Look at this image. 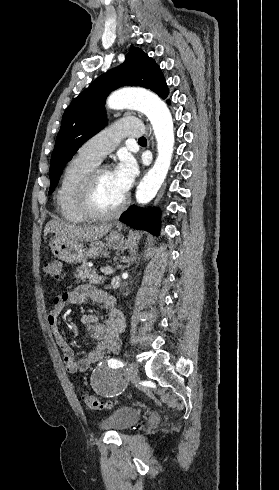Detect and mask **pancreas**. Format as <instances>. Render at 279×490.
I'll list each match as a JSON object with an SVG mask.
<instances>
[{"mask_svg": "<svg viewBox=\"0 0 279 490\" xmlns=\"http://www.w3.org/2000/svg\"><path fill=\"white\" fill-rule=\"evenodd\" d=\"M78 282H86L88 280L89 284H104V276H99L94 270H89L86 264H82L80 268H77L75 274Z\"/></svg>", "mask_w": 279, "mask_h": 490, "instance_id": "obj_1", "label": "pancreas"}]
</instances>
